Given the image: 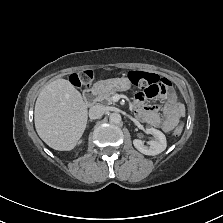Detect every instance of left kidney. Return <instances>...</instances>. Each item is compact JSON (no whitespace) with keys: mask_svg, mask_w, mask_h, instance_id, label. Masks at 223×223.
<instances>
[{"mask_svg":"<svg viewBox=\"0 0 223 223\" xmlns=\"http://www.w3.org/2000/svg\"><path fill=\"white\" fill-rule=\"evenodd\" d=\"M146 133L153 135L154 140L149 141V147L145 146L143 141L139 139H135L133 144L135 148L145 155H157L163 152L167 147V141L165 135L155 129V128H147Z\"/></svg>","mask_w":223,"mask_h":223,"instance_id":"left-kidney-1","label":"left kidney"}]
</instances>
